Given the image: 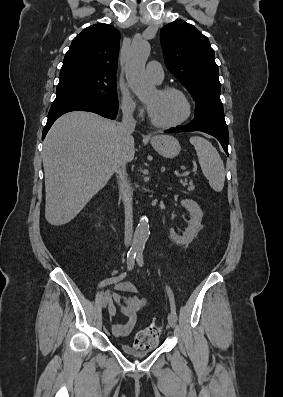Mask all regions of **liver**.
I'll return each instance as SVG.
<instances>
[{"label":"liver","mask_w":283,"mask_h":397,"mask_svg":"<svg viewBox=\"0 0 283 397\" xmlns=\"http://www.w3.org/2000/svg\"><path fill=\"white\" fill-rule=\"evenodd\" d=\"M118 125L85 111L64 114L53 124L43 148L48 223L70 222L107 184L121 156L133 160L134 138L124 139Z\"/></svg>","instance_id":"6515ba94"}]
</instances>
